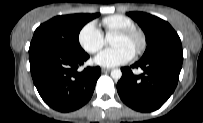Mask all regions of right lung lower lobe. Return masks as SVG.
<instances>
[{
  "instance_id": "1",
  "label": "right lung lower lobe",
  "mask_w": 203,
  "mask_h": 123,
  "mask_svg": "<svg viewBox=\"0 0 203 123\" xmlns=\"http://www.w3.org/2000/svg\"><path fill=\"white\" fill-rule=\"evenodd\" d=\"M89 58L83 50L70 52L43 45H30L31 75L44 102L60 112L79 109L91 98L101 75L100 67H78Z\"/></svg>"
}]
</instances>
